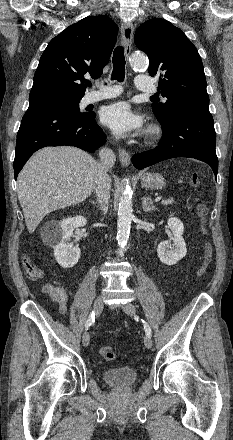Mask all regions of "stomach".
Returning <instances> with one entry per match:
<instances>
[{
  "label": "stomach",
  "mask_w": 233,
  "mask_h": 440,
  "mask_svg": "<svg viewBox=\"0 0 233 440\" xmlns=\"http://www.w3.org/2000/svg\"><path fill=\"white\" fill-rule=\"evenodd\" d=\"M141 184L150 189L159 190L165 187V179L157 173H144L141 176Z\"/></svg>",
  "instance_id": "1"
}]
</instances>
